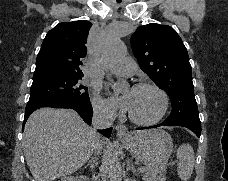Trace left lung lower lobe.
<instances>
[{"label": "left lung lower lobe", "mask_w": 228, "mask_h": 181, "mask_svg": "<svg viewBox=\"0 0 228 181\" xmlns=\"http://www.w3.org/2000/svg\"><path fill=\"white\" fill-rule=\"evenodd\" d=\"M171 126L169 124H166L164 122H162L161 124L159 125H155V126H150V127H144V128H138V129H148V128H156V127H159V126ZM190 130H192L198 137H200V134H201V127H186Z\"/></svg>", "instance_id": "0a47b994"}]
</instances>
